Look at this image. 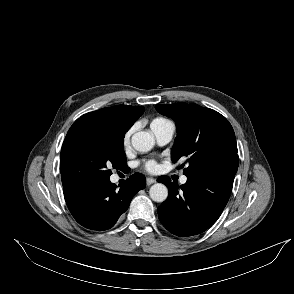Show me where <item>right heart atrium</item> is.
<instances>
[{"label":"right heart atrium","mask_w":294,"mask_h":294,"mask_svg":"<svg viewBox=\"0 0 294 294\" xmlns=\"http://www.w3.org/2000/svg\"><path fill=\"white\" fill-rule=\"evenodd\" d=\"M130 135H131V131H128V132L125 134V136H124V140H123L124 145H127V144L129 143Z\"/></svg>","instance_id":"obj_1"}]
</instances>
